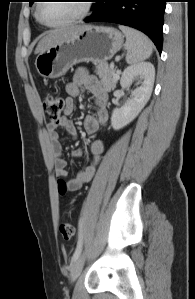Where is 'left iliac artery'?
<instances>
[{
	"label": "left iliac artery",
	"mask_w": 195,
	"mask_h": 299,
	"mask_svg": "<svg viewBox=\"0 0 195 299\" xmlns=\"http://www.w3.org/2000/svg\"><path fill=\"white\" fill-rule=\"evenodd\" d=\"M82 239H83V235H82V222L80 221V225H79V235H78V243H77V247L76 250L72 256V261H75L78 256L81 253L82 250Z\"/></svg>",
	"instance_id": "left-iliac-artery-1"
}]
</instances>
